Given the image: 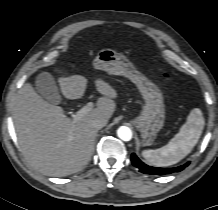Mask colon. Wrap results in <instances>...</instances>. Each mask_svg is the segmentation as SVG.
<instances>
[{"label":"colon","mask_w":218,"mask_h":210,"mask_svg":"<svg viewBox=\"0 0 218 210\" xmlns=\"http://www.w3.org/2000/svg\"><path fill=\"white\" fill-rule=\"evenodd\" d=\"M163 77H164L166 80H169V79H170V76H169V74H167V73H165V74L163 75Z\"/></svg>","instance_id":"colon-1"}]
</instances>
